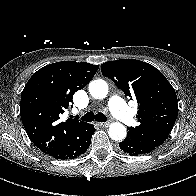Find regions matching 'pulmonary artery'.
Listing matches in <instances>:
<instances>
[{"label": "pulmonary artery", "mask_w": 196, "mask_h": 196, "mask_svg": "<svg viewBox=\"0 0 196 196\" xmlns=\"http://www.w3.org/2000/svg\"><path fill=\"white\" fill-rule=\"evenodd\" d=\"M108 105L114 116L126 125H131L134 121L129 107L117 96H112L108 100Z\"/></svg>", "instance_id": "1"}]
</instances>
